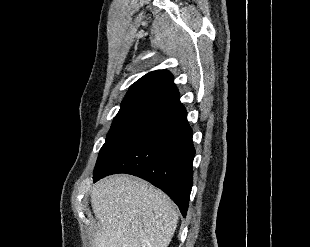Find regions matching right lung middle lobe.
I'll return each instance as SVG.
<instances>
[{
	"label": "right lung middle lobe",
	"mask_w": 310,
	"mask_h": 247,
	"mask_svg": "<svg viewBox=\"0 0 310 247\" xmlns=\"http://www.w3.org/2000/svg\"><path fill=\"white\" fill-rule=\"evenodd\" d=\"M157 114V111L149 108L121 109L115 116L99 152L95 170L108 162L133 134Z\"/></svg>",
	"instance_id": "right-lung-middle-lobe-1"
}]
</instances>
